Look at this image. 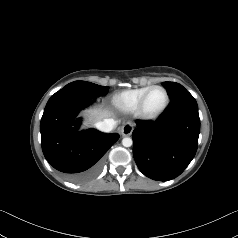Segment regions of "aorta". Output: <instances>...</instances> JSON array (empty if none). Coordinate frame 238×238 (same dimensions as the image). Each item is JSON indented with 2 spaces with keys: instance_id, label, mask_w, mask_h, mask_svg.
<instances>
[{
  "instance_id": "762f6f07",
  "label": "aorta",
  "mask_w": 238,
  "mask_h": 238,
  "mask_svg": "<svg viewBox=\"0 0 238 238\" xmlns=\"http://www.w3.org/2000/svg\"><path fill=\"white\" fill-rule=\"evenodd\" d=\"M132 144H133V141H132L131 138H129V137L123 138V140H122V145H123L124 147H130V146H132Z\"/></svg>"
}]
</instances>
